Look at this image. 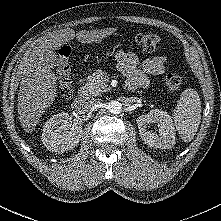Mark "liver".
Segmentation results:
<instances>
[{
	"label": "liver",
	"mask_w": 221,
	"mask_h": 221,
	"mask_svg": "<svg viewBox=\"0 0 221 221\" xmlns=\"http://www.w3.org/2000/svg\"><path fill=\"white\" fill-rule=\"evenodd\" d=\"M115 30H82L75 34L73 29H62L43 37L25 57L17 107L20 123L27 133L34 131L42 114L57 96V78L52 69L56 66L58 57L53 50L59 49L75 37L83 44L97 43Z\"/></svg>",
	"instance_id": "1"
}]
</instances>
